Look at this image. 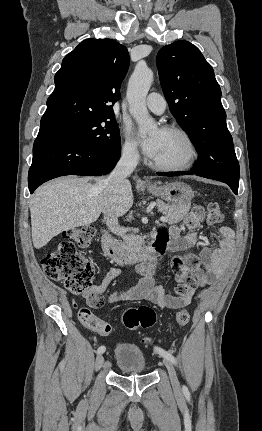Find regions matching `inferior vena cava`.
Masks as SVG:
<instances>
[{
	"label": "inferior vena cava",
	"instance_id": "inferior-vena-cava-1",
	"mask_svg": "<svg viewBox=\"0 0 262 431\" xmlns=\"http://www.w3.org/2000/svg\"><path fill=\"white\" fill-rule=\"evenodd\" d=\"M139 161V154L133 148H124L121 157L110 175L104 180L109 198L103 208L104 220L108 228L116 235L123 236L124 229L118 224L115 213V197L127 182V177L134 171Z\"/></svg>",
	"mask_w": 262,
	"mask_h": 431
}]
</instances>
